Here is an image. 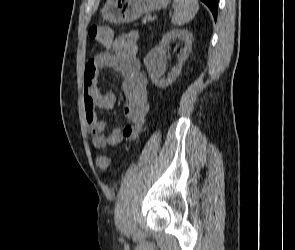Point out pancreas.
<instances>
[{"mask_svg": "<svg viewBox=\"0 0 295 250\" xmlns=\"http://www.w3.org/2000/svg\"><path fill=\"white\" fill-rule=\"evenodd\" d=\"M151 20H152L151 16H150V15H146V16L143 18L142 23L145 24V23H147V22H149V21H151Z\"/></svg>", "mask_w": 295, "mask_h": 250, "instance_id": "obj_1", "label": "pancreas"}]
</instances>
